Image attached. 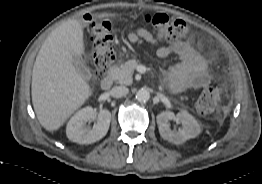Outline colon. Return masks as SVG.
Here are the masks:
<instances>
[{"mask_svg": "<svg viewBox=\"0 0 262 184\" xmlns=\"http://www.w3.org/2000/svg\"><path fill=\"white\" fill-rule=\"evenodd\" d=\"M91 38L94 62V82L99 81L115 59L114 39L111 35V25L107 20H98L91 15H85ZM145 22L152 27L159 39L176 43L189 32L186 22L163 13H148ZM219 93L215 87H206L196 101V110L202 116L212 119L218 115Z\"/></svg>", "mask_w": 262, "mask_h": 184, "instance_id": "obj_1", "label": "colon"}]
</instances>
